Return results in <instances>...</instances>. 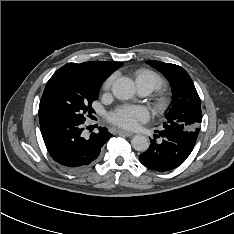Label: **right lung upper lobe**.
Instances as JSON below:
<instances>
[{
  "mask_svg": "<svg viewBox=\"0 0 234 234\" xmlns=\"http://www.w3.org/2000/svg\"><path fill=\"white\" fill-rule=\"evenodd\" d=\"M123 63L122 62H85L81 64L67 63L58 71L66 72L77 78L94 82L101 83L115 70H117Z\"/></svg>",
  "mask_w": 234,
  "mask_h": 234,
  "instance_id": "right-lung-upper-lobe-1",
  "label": "right lung upper lobe"
}]
</instances>
